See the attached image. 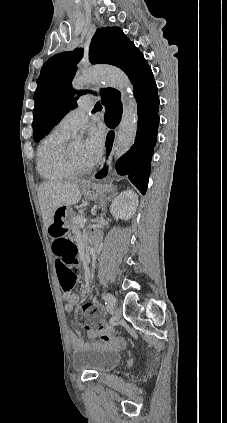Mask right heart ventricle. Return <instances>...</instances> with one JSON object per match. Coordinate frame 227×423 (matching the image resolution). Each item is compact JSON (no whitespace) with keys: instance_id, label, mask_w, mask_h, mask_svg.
Returning a JSON list of instances; mask_svg holds the SVG:
<instances>
[{"instance_id":"e07e8e85","label":"right heart ventricle","mask_w":227,"mask_h":423,"mask_svg":"<svg viewBox=\"0 0 227 423\" xmlns=\"http://www.w3.org/2000/svg\"><path fill=\"white\" fill-rule=\"evenodd\" d=\"M71 133L56 126L39 143L36 167L39 175L50 181L68 179L65 150Z\"/></svg>"}]
</instances>
